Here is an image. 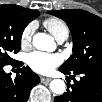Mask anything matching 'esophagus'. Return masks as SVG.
Masks as SVG:
<instances>
[{
  "mask_svg": "<svg viewBox=\"0 0 102 102\" xmlns=\"http://www.w3.org/2000/svg\"><path fill=\"white\" fill-rule=\"evenodd\" d=\"M52 79L48 77H41V82L42 83H49Z\"/></svg>",
  "mask_w": 102,
  "mask_h": 102,
  "instance_id": "obj_1",
  "label": "esophagus"
}]
</instances>
